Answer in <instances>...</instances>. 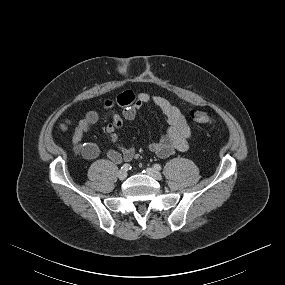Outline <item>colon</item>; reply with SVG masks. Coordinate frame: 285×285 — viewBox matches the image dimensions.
Masks as SVG:
<instances>
[{"label": "colon", "instance_id": "1", "mask_svg": "<svg viewBox=\"0 0 285 285\" xmlns=\"http://www.w3.org/2000/svg\"><path fill=\"white\" fill-rule=\"evenodd\" d=\"M190 119L197 124H209L211 117L205 110H193L189 112Z\"/></svg>", "mask_w": 285, "mask_h": 285}]
</instances>
